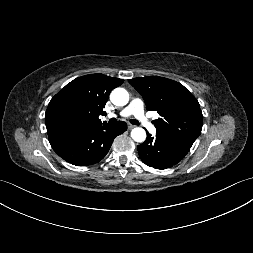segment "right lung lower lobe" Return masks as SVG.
Here are the masks:
<instances>
[{"mask_svg": "<svg viewBox=\"0 0 253 253\" xmlns=\"http://www.w3.org/2000/svg\"><path fill=\"white\" fill-rule=\"evenodd\" d=\"M127 130V124L102 125L50 141L53 150L65 161L76 166H88L101 161L114 138Z\"/></svg>", "mask_w": 253, "mask_h": 253, "instance_id": "obj_1", "label": "right lung lower lobe"}]
</instances>
